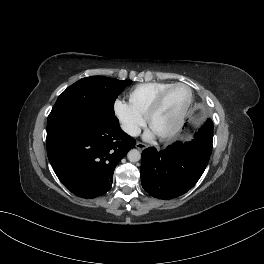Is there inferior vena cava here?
<instances>
[{"label": "inferior vena cava", "instance_id": "1", "mask_svg": "<svg viewBox=\"0 0 264 264\" xmlns=\"http://www.w3.org/2000/svg\"><path fill=\"white\" fill-rule=\"evenodd\" d=\"M121 127L124 132L133 137H136L141 133V129L134 124H122Z\"/></svg>", "mask_w": 264, "mask_h": 264}]
</instances>
